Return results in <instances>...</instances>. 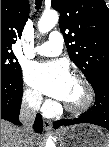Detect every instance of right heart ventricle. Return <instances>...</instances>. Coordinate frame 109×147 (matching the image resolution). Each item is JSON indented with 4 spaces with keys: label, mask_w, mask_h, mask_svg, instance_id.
I'll list each match as a JSON object with an SVG mask.
<instances>
[{
    "label": "right heart ventricle",
    "mask_w": 109,
    "mask_h": 147,
    "mask_svg": "<svg viewBox=\"0 0 109 147\" xmlns=\"http://www.w3.org/2000/svg\"><path fill=\"white\" fill-rule=\"evenodd\" d=\"M50 111V112H52V109L51 108H47L46 110H45V112L47 113V111Z\"/></svg>",
    "instance_id": "obj_1"
}]
</instances>
